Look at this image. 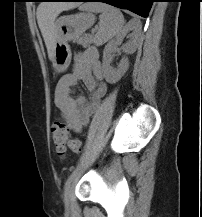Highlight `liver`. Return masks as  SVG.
I'll return each instance as SVG.
<instances>
[{
  "instance_id": "obj_1",
  "label": "liver",
  "mask_w": 202,
  "mask_h": 217,
  "mask_svg": "<svg viewBox=\"0 0 202 217\" xmlns=\"http://www.w3.org/2000/svg\"><path fill=\"white\" fill-rule=\"evenodd\" d=\"M77 3L66 2H42L37 8V21L42 36L44 38L48 57L53 61L54 47L56 42V23L57 16L65 10L77 7Z\"/></svg>"
}]
</instances>
